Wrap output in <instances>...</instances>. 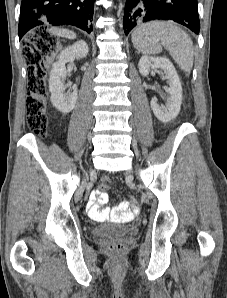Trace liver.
Here are the masks:
<instances>
[{"label":"liver","mask_w":227,"mask_h":298,"mask_svg":"<svg viewBox=\"0 0 227 298\" xmlns=\"http://www.w3.org/2000/svg\"><path fill=\"white\" fill-rule=\"evenodd\" d=\"M51 32L55 35L69 38V39H75L76 34L72 31L66 30V29H52Z\"/></svg>","instance_id":"1"}]
</instances>
